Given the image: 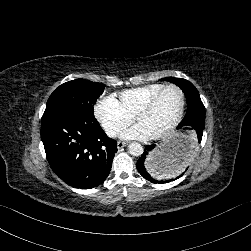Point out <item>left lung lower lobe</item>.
I'll return each instance as SVG.
<instances>
[{
	"instance_id": "left-lung-lower-lobe-1",
	"label": "left lung lower lobe",
	"mask_w": 251,
	"mask_h": 251,
	"mask_svg": "<svg viewBox=\"0 0 251 251\" xmlns=\"http://www.w3.org/2000/svg\"><path fill=\"white\" fill-rule=\"evenodd\" d=\"M204 128L205 108L193 104L188 106L186 119L177 127L184 132V144L179 155L169 160L159 161L152 154L155 145H147L144 153L137 161V170L152 183L163 184L180 178L184 174L182 171L188 169L197 146L201 143Z\"/></svg>"
}]
</instances>
